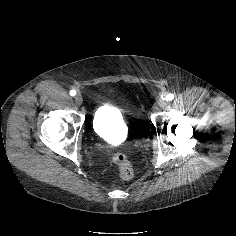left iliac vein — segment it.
<instances>
[{
    "label": "left iliac vein",
    "instance_id": "1",
    "mask_svg": "<svg viewBox=\"0 0 236 236\" xmlns=\"http://www.w3.org/2000/svg\"><path fill=\"white\" fill-rule=\"evenodd\" d=\"M167 105V101L165 99H160L154 106L155 110H160Z\"/></svg>",
    "mask_w": 236,
    "mask_h": 236
}]
</instances>
